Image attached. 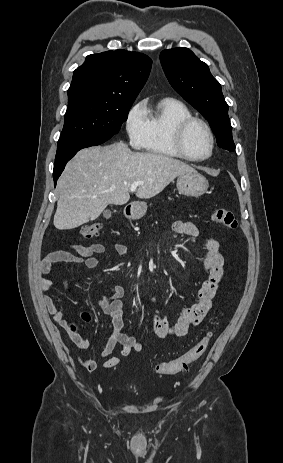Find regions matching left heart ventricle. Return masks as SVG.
Segmentation results:
<instances>
[{
    "mask_svg": "<svg viewBox=\"0 0 283 463\" xmlns=\"http://www.w3.org/2000/svg\"><path fill=\"white\" fill-rule=\"evenodd\" d=\"M185 148L195 157H203L210 152V137L202 125L194 124L189 128L185 136Z\"/></svg>",
    "mask_w": 283,
    "mask_h": 463,
    "instance_id": "1",
    "label": "left heart ventricle"
}]
</instances>
